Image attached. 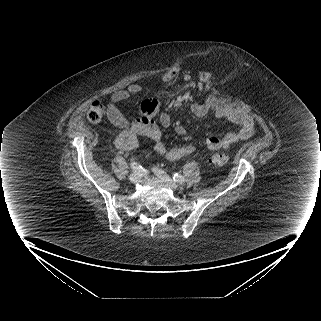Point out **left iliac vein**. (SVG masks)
Listing matches in <instances>:
<instances>
[{
  "label": "left iliac vein",
  "mask_w": 321,
  "mask_h": 321,
  "mask_svg": "<svg viewBox=\"0 0 321 321\" xmlns=\"http://www.w3.org/2000/svg\"><path fill=\"white\" fill-rule=\"evenodd\" d=\"M153 172L158 176L159 179H161L172 190L178 189L177 183L175 181H173L172 178L169 175H167L164 171L154 168Z\"/></svg>",
  "instance_id": "obj_1"
}]
</instances>
